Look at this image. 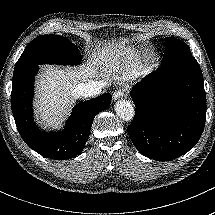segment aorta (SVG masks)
Instances as JSON below:
<instances>
[{
	"label": "aorta",
	"mask_w": 215,
	"mask_h": 215,
	"mask_svg": "<svg viewBox=\"0 0 215 215\" xmlns=\"http://www.w3.org/2000/svg\"><path fill=\"white\" fill-rule=\"evenodd\" d=\"M115 112L125 122L132 121L135 116L134 106L129 101H118L115 105Z\"/></svg>",
	"instance_id": "1"
}]
</instances>
